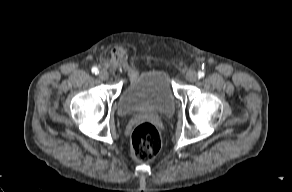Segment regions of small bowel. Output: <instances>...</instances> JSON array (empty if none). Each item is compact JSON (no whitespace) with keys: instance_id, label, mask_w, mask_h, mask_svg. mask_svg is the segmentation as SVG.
<instances>
[{"instance_id":"1","label":"small bowel","mask_w":292,"mask_h":192,"mask_svg":"<svg viewBox=\"0 0 292 192\" xmlns=\"http://www.w3.org/2000/svg\"><path fill=\"white\" fill-rule=\"evenodd\" d=\"M127 146H130V143H127Z\"/></svg>"}]
</instances>
